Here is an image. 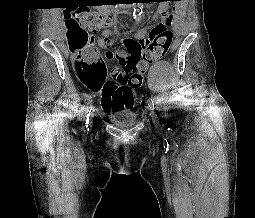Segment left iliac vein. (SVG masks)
<instances>
[{"instance_id": "obj_1", "label": "left iliac vein", "mask_w": 255, "mask_h": 218, "mask_svg": "<svg viewBox=\"0 0 255 218\" xmlns=\"http://www.w3.org/2000/svg\"><path fill=\"white\" fill-rule=\"evenodd\" d=\"M149 111H150L151 116H155V113H154V109H153V108H150V107H149Z\"/></svg>"}]
</instances>
